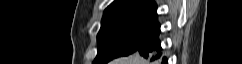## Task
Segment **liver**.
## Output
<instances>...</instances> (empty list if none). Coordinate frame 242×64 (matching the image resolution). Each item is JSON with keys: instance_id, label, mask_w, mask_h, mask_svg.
<instances>
[{"instance_id": "1", "label": "liver", "mask_w": 242, "mask_h": 64, "mask_svg": "<svg viewBox=\"0 0 242 64\" xmlns=\"http://www.w3.org/2000/svg\"><path fill=\"white\" fill-rule=\"evenodd\" d=\"M111 64H146V61L139 55H130L128 57L115 59Z\"/></svg>"}]
</instances>
